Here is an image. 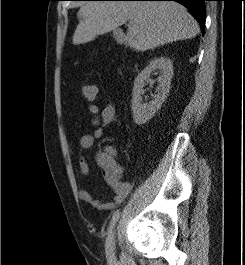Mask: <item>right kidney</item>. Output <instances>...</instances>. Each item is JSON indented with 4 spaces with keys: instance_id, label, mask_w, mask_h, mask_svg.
I'll list each match as a JSON object with an SVG mask.
<instances>
[{
    "instance_id": "1",
    "label": "right kidney",
    "mask_w": 245,
    "mask_h": 265,
    "mask_svg": "<svg viewBox=\"0 0 245 265\" xmlns=\"http://www.w3.org/2000/svg\"><path fill=\"white\" fill-rule=\"evenodd\" d=\"M159 70L161 75L157 79V94L148 103L143 102L142 95L145 90L146 83L150 86L154 84V80L150 78L151 73ZM173 76V64L169 58H155L144 70L135 78L133 87V96L131 100V108L133 111V120L137 125L145 124L161 108L170 89L171 78Z\"/></svg>"
}]
</instances>
